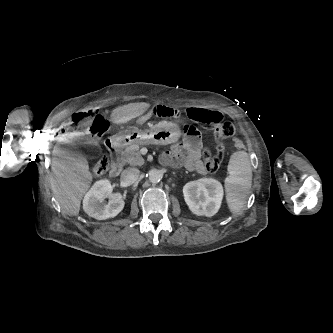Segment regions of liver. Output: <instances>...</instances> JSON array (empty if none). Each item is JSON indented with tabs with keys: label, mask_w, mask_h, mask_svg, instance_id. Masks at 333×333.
Returning <instances> with one entry per match:
<instances>
[{
	"label": "liver",
	"mask_w": 333,
	"mask_h": 333,
	"mask_svg": "<svg viewBox=\"0 0 333 333\" xmlns=\"http://www.w3.org/2000/svg\"><path fill=\"white\" fill-rule=\"evenodd\" d=\"M150 107L149 103H129L115 108L111 114L114 124H125L142 115ZM64 143H72L64 140ZM51 190L65 214L77 216L81 200L90 187L92 179L89 165L85 158L66 153L62 148L53 149Z\"/></svg>",
	"instance_id": "liver-1"
}]
</instances>
